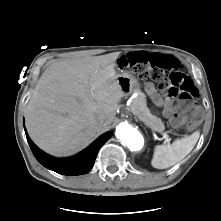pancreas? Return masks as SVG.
Masks as SVG:
<instances>
[{
    "instance_id": "pancreas-1",
    "label": "pancreas",
    "mask_w": 221,
    "mask_h": 221,
    "mask_svg": "<svg viewBox=\"0 0 221 221\" xmlns=\"http://www.w3.org/2000/svg\"><path fill=\"white\" fill-rule=\"evenodd\" d=\"M130 108L134 115L154 130L161 132L164 129L162 120L151 114L148 109L145 95L142 92H138V96L133 99Z\"/></svg>"
}]
</instances>
